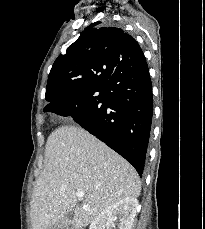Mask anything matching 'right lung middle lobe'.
I'll return each mask as SVG.
<instances>
[{
  "label": "right lung middle lobe",
  "mask_w": 205,
  "mask_h": 229,
  "mask_svg": "<svg viewBox=\"0 0 205 229\" xmlns=\"http://www.w3.org/2000/svg\"><path fill=\"white\" fill-rule=\"evenodd\" d=\"M110 76L108 75H101V76H97L95 78H93L92 80V84L95 85V84H98V83H102V82H105Z\"/></svg>",
  "instance_id": "dd1d6c3e"
}]
</instances>
